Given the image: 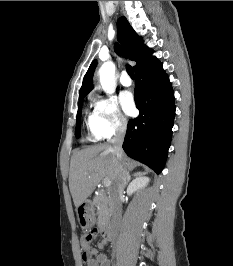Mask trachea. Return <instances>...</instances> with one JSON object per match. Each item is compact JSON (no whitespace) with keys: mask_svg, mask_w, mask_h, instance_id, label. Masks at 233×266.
I'll use <instances>...</instances> for the list:
<instances>
[{"mask_svg":"<svg viewBox=\"0 0 233 266\" xmlns=\"http://www.w3.org/2000/svg\"><path fill=\"white\" fill-rule=\"evenodd\" d=\"M126 70H127V73L129 74V76L131 78H134V70H133V67L127 64Z\"/></svg>","mask_w":233,"mask_h":266,"instance_id":"trachea-1","label":"trachea"}]
</instances>
